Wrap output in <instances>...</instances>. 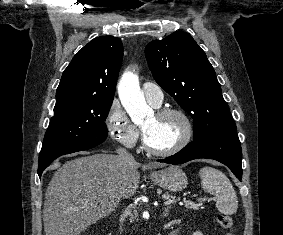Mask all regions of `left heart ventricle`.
Segmentation results:
<instances>
[{
	"label": "left heart ventricle",
	"mask_w": 283,
	"mask_h": 235,
	"mask_svg": "<svg viewBox=\"0 0 283 235\" xmlns=\"http://www.w3.org/2000/svg\"><path fill=\"white\" fill-rule=\"evenodd\" d=\"M142 128L150 146L158 150H166L174 146L184 130L181 119L174 115L166 117L153 115Z\"/></svg>",
	"instance_id": "1"
}]
</instances>
